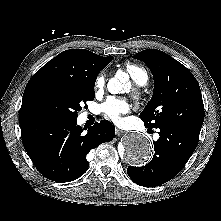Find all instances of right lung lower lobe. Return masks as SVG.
<instances>
[{
	"label": "right lung lower lobe",
	"mask_w": 221,
	"mask_h": 221,
	"mask_svg": "<svg viewBox=\"0 0 221 221\" xmlns=\"http://www.w3.org/2000/svg\"><path fill=\"white\" fill-rule=\"evenodd\" d=\"M24 148L37 170L56 182H69L88 169L89 151L114 138L115 127L102 120L87 133L76 119L26 117L20 121Z\"/></svg>",
	"instance_id": "1"
}]
</instances>
